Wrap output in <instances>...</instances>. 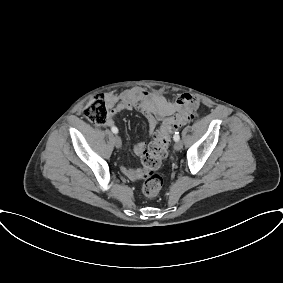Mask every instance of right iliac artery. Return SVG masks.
I'll use <instances>...</instances> for the list:
<instances>
[{
  "label": "right iliac artery",
  "mask_w": 283,
  "mask_h": 283,
  "mask_svg": "<svg viewBox=\"0 0 283 283\" xmlns=\"http://www.w3.org/2000/svg\"><path fill=\"white\" fill-rule=\"evenodd\" d=\"M111 130H112V132H113V133H115V134H117V133H118V129H117L115 126H114V127H112V128H111Z\"/></svg>",
  "instance_id": "obj_1"
}]
</instances>
